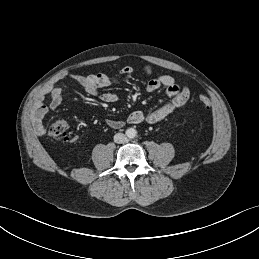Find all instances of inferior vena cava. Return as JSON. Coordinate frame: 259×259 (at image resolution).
Here are the masks:
<instances>
[{
  "label": "inferior vena cava",
  "mask_w": 259,
  "mask_h": 259,
  "mask_svg": "<svg viewBox=\"0 0 259 259\" xmlns=\"http://www.w3.org/2000/svg\"><path fill=\"white\" fill-rule=\"evenodd\" d=\"M114 142L118 144H123L127 142V137L123 133H117L114 135Z\"/></svg>",
  "instance_id": "1"
}]
</instances>
